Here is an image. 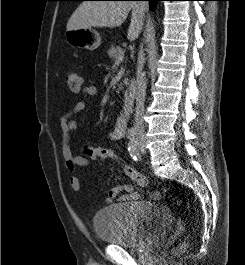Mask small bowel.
<instances>
[{
  "label": "small bowel",
  "mask_w": 245,
  "mask_h": 265,
  "mask_svg": "<svg viewBox=\"0 0 245 265\" xmlns=\"http://www.w3.org/2000/svg\"><path fill=\"white\" fill-rule=\"evenodd\" d=\"M80 93L87 96H97L99 94V89L95 85H82ZM86 107V102L84 100L78 101L71 111L64 114L60 119L61 136H62V154L64 158L65 167L69 172H74L76 168H87L91 165L89 159L84 156L76 155L70 145L71 136L76 131L77 125L71 117L84 110ZM125 126L121 123L116 124L109 131V138L111 140H119L124 136ZM69 186L73 191L81 190L80 179L71 175L69 177ZM150 197L154 200L160 198V193L158 191H153L150 193ZM140 198V194L134 189L130 184H122L112 187L105 198L106 203H111L115 200L118 201H136Z\"/></svg>",
  "instance_id": "obj_1"
}]
</instances>
